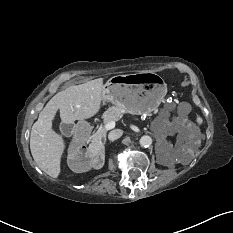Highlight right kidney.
Here are the masks:
<instances>
[{
    "mask_svg": "<svg viewBox=\"0 0 233 233\" xmlns=\"http://www.w3.org/2000/svg\"><path fill=\"white\" fill-rule=\"evenodd\" d=\"M104 162L105 150L100 145L90 147L84 158L77 150H71L68 154V166L75 173L87 172L91 168L100 169Z\"/></svg>",
    "mask_w": 233,
    "mask_h": 233,
    "instance_id": "1",
    "label": "right kidney"
}]
</instances>
